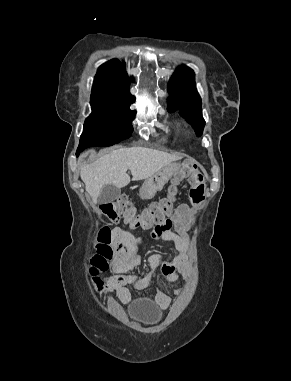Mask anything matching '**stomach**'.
<instances>
[{
    "label": "stomach",
    "mask_w": 291,
    "mask_h": 381,
    "mask_svg": "<svg viewBox=\"0 0 291 381\" xmlns=\"http://www.w3.org/2000/svg\"><path fill=\"white\" fill-rule=\"evenodd\" d=\"M182 164L171 163L160 171L145 179L140 188V197L142 199H151L155 194L161 191L164 185L172 176H176L181 172Z\"/></svg>",
    "instance_id": "stomach-1"
}]
</instances>
